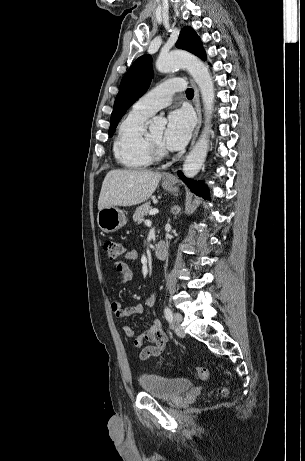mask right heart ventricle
Masks as SVG:
<instances>
[{
  "label": "right heart ventricle",
  "mask_w": 305,
  "mask_h": 461,
  "mask_svg": "<svg viewBox=\"0 0 305 461\" xmlns=\"http://www.w3.org/2000/svg\"><path fill=\"white\" fill-rule=\"evenodd\" d=\"M148 117L132 109L119 125L113 151L117 161L125 168L144 169L154 161L145 141Z\"/></svg>",
  "instance_id": "1"
}]
</instances>
